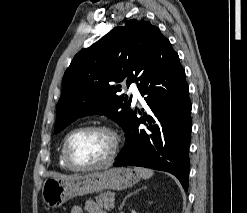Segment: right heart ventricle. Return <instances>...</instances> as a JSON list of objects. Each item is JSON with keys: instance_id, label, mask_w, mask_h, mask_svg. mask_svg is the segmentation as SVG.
<instances>
[{"instance_id": "e07e8e85", "label": "right heart ventricle", "mask_w": 247, "mask_h": 213, "mask_svg": "<svg viewBox=\"0 0 247 213\" xmlns=\"http://www.w3.org/2000/svg\"><path fill=\"white\" fill-rule=\"evenodd\" d=\"M59 165L64 170H72L65 162L63 156V145L61 146L60 153H59Z\"/></svg>"}]
</instances>
